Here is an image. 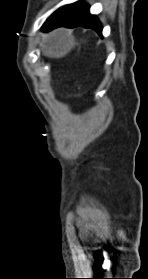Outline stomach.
<instances>
[{
	"label": "stomach",
	"instance_id": "1",
	"mask_svg": "<svg viewBox=\"0 0 148 279\" xmlns=\"http://www.w3.org/2000/svg\"><path fill=\"white\" fill-rule=\"evenodd\" d=\"M75 44L72 38L61 33L59 40L51 44L49 50H40V55H45V59H60V55L65 54Z\"/></svg>",
	"mask_w": 148,
	"mask_h": 279
}]
</instances>
